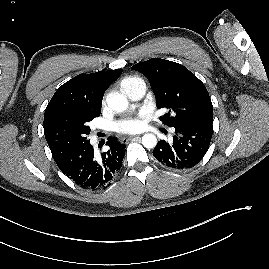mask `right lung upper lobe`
Masks as SVG:
<instances>
[{
    "instance_id": "cb5924a9",
    "label": "right lung upper lobe",
    "mask_w": 269,
    "mask_h": 269,
    "mask_svg": "<svg viewBox=\"0 0 269 269\" xmlns=\"http://www.w3.org/2000/svg\"><path fill=\"white\" fill-rule=\"evenodd\" d=\"M122 73V69L80 74L61 85L48 103L44 124L60 111L100 115L103 95L110 84Z\"/></svg>"
}]
</instances>
